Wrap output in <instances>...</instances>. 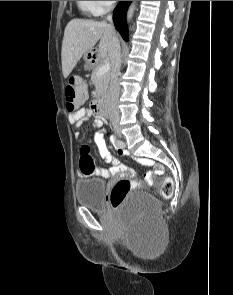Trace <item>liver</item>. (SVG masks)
Returning a JSON list of instances; mask_svg holds the SVG:
<instances>
[{
  "label": "liver",
  "instance_id": "liver-1",
  "mask_svg": "<svg viewBox=\"0 0 233 295\" xmlns=\"http://www.w3.org/2000/svg\"><path fill=\"white\" fill-rule=\"evenodd\" d=\"M113 28L106 22L73 19L64 31L61 50L62 72L67 78L76 66L80 58L92 50L99 42L97 60H103L108 56L110 41L114 34Z\"/></svg>",
  "mask_w": 233,
  "mask_h": 295
}]
</instances>
